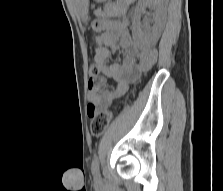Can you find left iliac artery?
I'll return each mask as SVG.
<instances>
[{
	"instance_id": "obj_1",
	"label": "left iliac artery",
	"mask_w": 223,
	"mask_h": 191,
	"mask_svg": "<svg viewBox=\"0 0 223 191\" xmlns=\"http://www.w3.org/2000/svg\"><path fill=\"white\" fill-rule=\"evenodd\" d=\"M91 171L92 174L94 175V177L99 180L100 179V173H99V162H98V158L95 156L92 164H91Z\"/></svg>"
}]
</instances>
